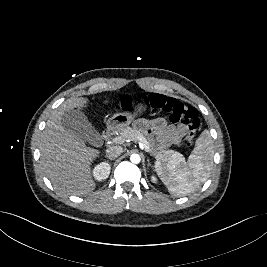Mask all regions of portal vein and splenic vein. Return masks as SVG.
<instances>
[{"mask_svg":"<svg viewBox=\"0 0 267 267\" xmlns=\"http://www.w3.org/2000/svg\"><path fill=\"white\" fill-rule=\"evenodd\" d=\"M113 143L115 144H122L124 143V139L122 137H115L113 140H112ZM139 147L142 149V150H145L147 152H149V146L147 145L146 142L144 141H139Z\"/></svg>","mask_w":267,"mask_h":267,"instance_id":"18ae733b","label":"portal vein and splenic vein"}]
</instances>
